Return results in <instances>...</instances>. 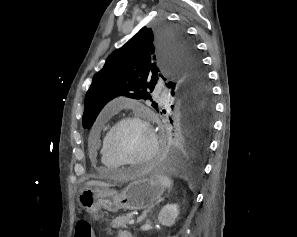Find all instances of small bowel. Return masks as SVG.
Here are the masks:
<instances>
[{"label":"small bowel","instance_id":"obj_1","mask_svg":"<svg viewBox=\"0 0 297 237\" xmlns=\"http://www.w3.org/2000/svg\"><path fill=\"white\" fill-rule=\"evenodd\" d=\"M127 236H129V234H127L126 232H122V233L120 234V237H127Z\"/></svg>","mask_w":297,"mask_h":237}]
</instances>
